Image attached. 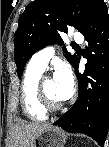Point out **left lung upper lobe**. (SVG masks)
Returning a JSON list of instances; mask_svg holds the SVG:
<instances>
[{"mask_svg":"<svg viewBox=\"0 0 109 147\" xmlns=\"http://www.w3.org/2000/svg\"><path fill=\"white\" fill-rule=\"evenodd\" d=\"M103 0H35L18 20L14 35V59L22 75L28 59L38 50L53 43L62 44L60 32L73 26L79 32L87 25ZM67 60L75 66L78 58L64 49ZM92 83H96L97 76ZM98 84V83H96Z\"/></svg>","mask_w":109,"mask_h":147,"instance_id":"obj_1","label":"left lung upper lobe"}]
</instances>
